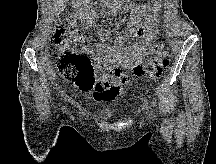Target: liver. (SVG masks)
Returning a JSON list of instances; mask_svg holds the SVG:
<instances>
[{
  "mask_svg": "<svg viewBox=\"0 0 216 164\" xmlns=\"http://www.w3.org/2000/svg\"><path fill=\"white\" fill-rule=\"evenodd\" d=\"M57 1L63 3V2H65L66 0H57ZM61 7H62V8H61ZM63 7H64V4H59V5L57 6V9H58V10H61V9H63Z\"/></svg>",
  "mask_w": 216,
  "mask_h": 164,
  "instance_id": "1",
  "label": "liver"
}]
</instances>
